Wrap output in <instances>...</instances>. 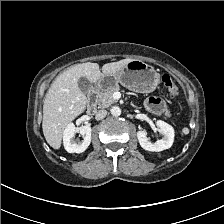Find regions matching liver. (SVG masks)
<instances>
[{
  "label": "liver",
  "instance_id": "obj_1",
  "mask_svg": "<svg viewBox=\"0 0 224 224\" xmlns=\"http://www.w3.org/2000/svg\"><path fill=\"white\" fill-rule=\"evenodd\" d=\"M132 59L127 58L102 66L97 63H82L70 67L51 84L43 105L42 129L47 143L59 149L64 130L86 109L87 97L79 89L78 79L86 77L91 83H97L103 75L114 74Z\"/></svg>",
  "mask_w": 224,
  "mask_h": 224
}]
</instances>
